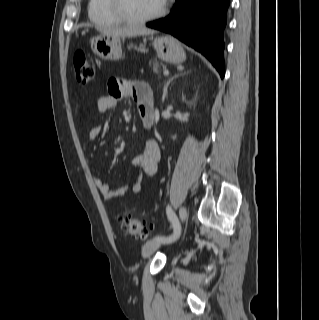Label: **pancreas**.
<instances>
[{"label":"pancreas","mask_w":319,"mask_h":320,"mask_svg":"<svg viewBox=\"0 0 319 320\" xmlns=\"http://www.w3.org/2000/svg\"><path fill=\"white\" fill-rule=\"evenodd\" d=\"M149 64L151 65H153L152 66V69H153V72L154 73H156V74H160V67L162 66V67H164V65L162 64V63H159V62H157V60L156 59H154V60H150L149 61Z\"/></svg>","instance_id":"obj_1"}]
</instances>
